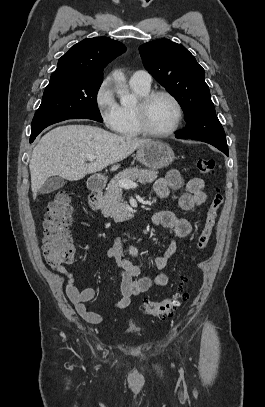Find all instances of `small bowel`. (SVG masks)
<instances>
[{
    "instance_id": "c3829d8e",
    "label": "small bowel",
    "mask_w": 265,
    "mask_h": 407,
    "mask_svg": "<svg viewBox=\"0 0 265 407\" xmlns=\"http://www.w3.org/2000/svg\"><path fill=\"white\" fill-rule=\"evenodd\" d=\"M203 188L204 180L202 178L193 177L185 181L177 170H170L154 184L155 192L161 200H166L171 190L185 189V193L180 198V207L187 212L193 211L205 202L206 194ZM153 222L156 226L169 230L174 236L165 252L154 261L155 267L158 269L155 275L139 277V266L132 264L124 255V238L118 237L113 246L107 251V256L115 261L121 279V298L114 304L116 310L127 308L131 304L133 296L146 292L152 287L161 288L168 284V276L162 270L177 252L179 247L178 238H186L193 231L190 220L179 218L165 209H161L154 214ZM81 225L85 227L91 226L85 221H82ZM128 253L133 257H138V251L132 245L128 247ZM57 271L65 276V292L68 299L75 306L77 313L90 324L101 323L102 317L98 313L90 311L86 306V303L94 298L95 289L92 287L79 289L75 285L72 274L65 267H59ZM136 277L139 278L136 279Z\"/></svg>"
}]
</instances>
